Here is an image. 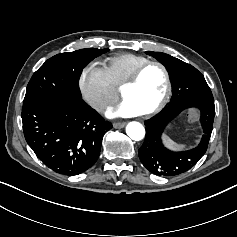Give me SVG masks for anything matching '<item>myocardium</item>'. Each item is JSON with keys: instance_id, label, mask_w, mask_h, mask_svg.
Wrapping results in <instances>:
<instances>
[{"instance_id": "myocardium-1", "label": "myocardium", "mask_w": 237, "mask_h": 237, "mask_svg": "<svg viewBox=\"0 0 237 237\" xmlns=\"http://www.w3.org/2000/svg\"><path fill=\"white\" fill-rule=\"evenodd\" d=\"M151 66H158L164 73L165 77V93L159 104L153 108L152 110L142 113L141 115L143 117L149 118L152 116H155L156 114L160 113L168 104L170 97H171V89H172V83H171V76L168 68L159 61H149L142 66H140L131 76L130 78L122 85L121 88V96L124 98V93L134 86L144 73L146 69H148Z\"/></svg>"}]
</instances>
